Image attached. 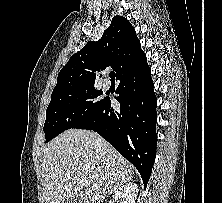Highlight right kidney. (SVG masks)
<instances>
[{
	"label": "right kidney",
	"instance_id": "obj_1",
	"mask_svg": "<svg viewBox=\"0 0 222 203\" xmlns=\"http://www.w3.org/2000/svg\"><path fill=\"white\" fill-rule=\"evenodd\" d=\"M138 191L137 184H124L114 192L112 200L109 203H135Z\"/></svg>",
	"mask_w": 222,
	"mask_h": 203
}]
</instances>
